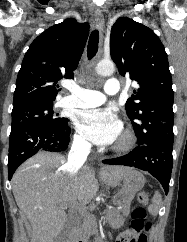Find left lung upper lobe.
Here are the masks:
<instances>
[{
    "label": "left lung upper lobe",
    "mask_w": 187,
    "mask_h": 242,
    "mask_svg": "<svg viewBox=\"0 0 187 242\" xmlns=\"http://www.w3.org/2000/svg\"><path fill=\"white\" fill-rule=\"evenodd\" d=\"M110 53L119 73L138 84L126 102L138 145L173 139L172 78L158 36L133 19L121 17L111 29Z\"/></svg>",
    "instance_id": "1"
}]
</instances>
